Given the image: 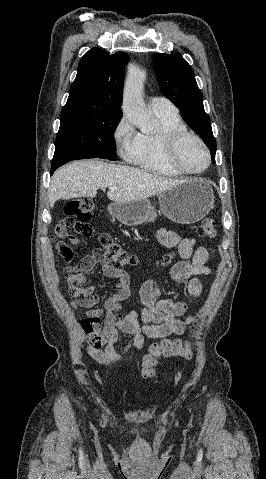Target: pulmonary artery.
Listing matches in <instances>:
<instances>
[{
	"label": "pulmonary artery",
	"instance_id": "pulmonary-artery-1",
	"mask_svg": "<svg viewBox=\"0 0 266 479\" xmlns=\"http://www.w3.org/2000/svg\"><path fill=\"white\" fill-rule=\"evenodd\" d=\"M150 105L155 113H177V108L164 97H153Z\"/></svg>",
	"mask_w": 266,
	"mask_h": 479
}]
</instances>
